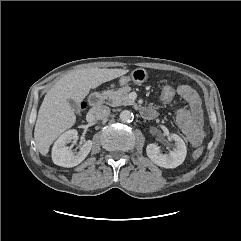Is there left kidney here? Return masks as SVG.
I'll use <instances>...</instances> for the list:
<instances>
[{
	"mask_svg": "<svg viewBox=\"0 0 241 241\" xmlns=\"http://www.w3.org/2000/svg\"><path fill=\"white\" fill-rule=\"evenodd\" d=\"M175 141V148L169 154H163L156 144H148L146 147L147 156L158 166L163 168H176L185 160L187 149L184 141L177 134H171Z\"/></svg>",
	"mask_w": 241,
	"mask_h": 241,
	"instance_id": "obj_1",
	"label": "left kidney"
}]
</instances>
